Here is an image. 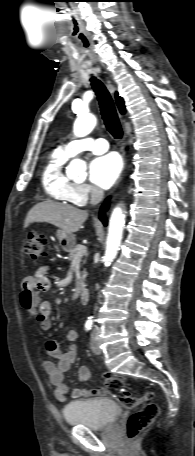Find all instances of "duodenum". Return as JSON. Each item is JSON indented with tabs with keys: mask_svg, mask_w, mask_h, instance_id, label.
I'll use <instances>...</instances> for the list:
<instances>
[{
	"mask_svg": "<svg viewBox=\"0 0 195 456\" xmlns=\"http://www.w3.org/2000/svg\"><path fill=\"white\" fill-rule=\"evenodd\" d=\"M79 299L82 303H87L89 300V291L86 288H83L79 292Z\"/></svg>",
	"mask_w": 195,
	"mask_h": 456,
	"instance_id": "duodenum-1",
	"label": "duodenum"
}]
</instances>
